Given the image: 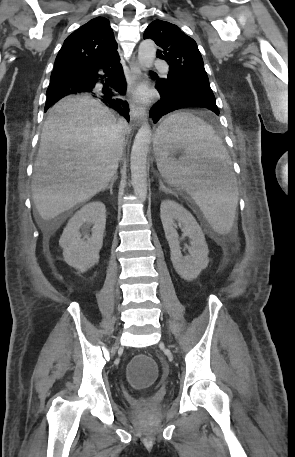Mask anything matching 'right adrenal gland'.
<instances>
[{"label": "right adrenal gland", "instance_id": "2a0ac1e0", "mask_svg": "<svg viewBox=\"0 0 295 457\" xmlns=\"http://www.w3.org/2000/svg\"><path fill=\"white\" fill-rule=\"evenodd\" d=\"M116 179H117V175H115L113 177V179L110 181L109 185L104 189V190L109 189L111 195L113 194V185H114V182L116 181Z\"/></svg>", "mask_w": 295, "mask_h": 457}]
</instances>
